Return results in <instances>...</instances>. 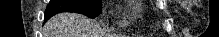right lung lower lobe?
I'll use <instances>...</instances> for the list:
<instances>
[{"label":"right lung lower lobe","mask_w":219,"mask_h":37,"mask_svg":"<svg viewBox=\"0 0 219 37\" xmlns=\"http://www.w3.org/2000/svg\"><path fill=\"white\" fill-rule=\"evenodd\" d=\"M49 17H51V16H46V19L49 18ZM46 19H45V20H46Z\"/></svg>","instance_id":"98d812e1"}]
</instances>
